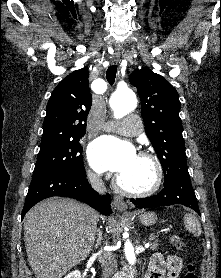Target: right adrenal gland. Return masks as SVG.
<instances>
[{
    "label": "right adrenal gland",
    "mask_w": 221,
    "mask_h": 278,
    "mask_svg": "<svg viewBox=\"0 0 221 278\" xmlns=\"http://www.w3.org/2000/svg\"><path fill=\"white\" fill-rule=\"evenodd\" d=\"M101 240H102V232L100 229H98L97 231V242H96V247H98V245L101 243Z\"/></svg>",
    "instance_id": "obj_1"
}]
</instances>
